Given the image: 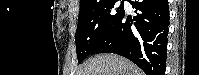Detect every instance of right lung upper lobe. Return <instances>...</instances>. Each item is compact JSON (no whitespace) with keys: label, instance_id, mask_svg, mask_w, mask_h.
Instances as JSON below:
<instances>
[{"label":"right lung upper lobe","instance_id":"obj_1","mask_svg":"<svg viewBox=\"0 0 199 75\" xmlns=\"http://www.w3.org/2000/svg\"><path fill=\"white\" fill-rule=\"evenodd\" d=\"M108 0H81L80 1V12H85L89 9L94 8L95 6L102 4Z\"/></svg>","mask_w":199,"mask_h":75}]
</instances>
